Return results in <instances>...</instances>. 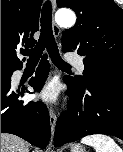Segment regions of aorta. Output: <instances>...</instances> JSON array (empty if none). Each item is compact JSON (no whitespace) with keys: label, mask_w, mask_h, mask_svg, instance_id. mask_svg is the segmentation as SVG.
<instances>
[{"label":"aorta","mask_w":123,"mask_h":152,"mask_svg":"<svg viewBox=\"0 0 123 152\" xmlns=\"http://www.w3.org/2000/svg\"><path fill=\"white\" fill-rule=\"evenodd\" d=\"M57 24L64 28L72 27L76 22V16L71 10H60L55 15Z\"/></svg>","instance_id":"1"}]
</instances>
